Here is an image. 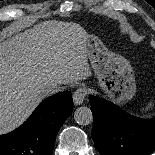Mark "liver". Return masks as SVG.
I'll list each match as a JSON object with an SVG mask.
<instances>
[{
    "label": "liver",
    "instance_id": "obj_1",
    "mask_svg": "<svg viewBox=\"0 0 155 155\" xmlns=\"http://www.w3.org/2000/svg\"><path fill=\"white\" fill-rule=\"evenodd\" d=\"M76 23L36 24L0 43V135L14 130L46 96L51 84H70L92 75Z\"/></svg>",
    "mask_w": 155,
    "mask_h": 155
}]
</instances>
